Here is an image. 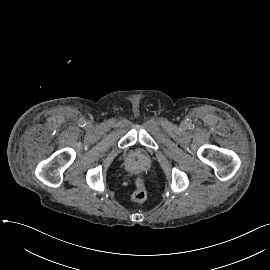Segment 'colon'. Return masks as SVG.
Instances as JSON below:
<instances>
[{"mask_svg": "<svg viewBox=\"0 0 270 270\" xmlns=\"http://www.w3.org/2000/svg\"><path fill=\"white\" fill-rule=\"evenodd\" d=\"M134 190L131 198L134 202H142L147 197V187L141 178H134Z\"/></svg>", "mask_w": 270, "mask_h": 270, "instance_id": "colon-1", "label": "colon"}]
</instances>
